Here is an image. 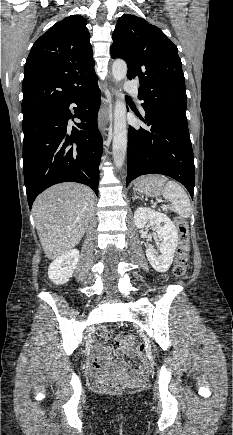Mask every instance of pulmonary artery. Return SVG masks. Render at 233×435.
<instances>
[{"instance_id": "obj_1", "label": "pulmonary artery", "mask_w": 233, "mask_h": 435, "mask_svg": "<svg viewBox=\"0 0 233 435\" xmlns=\"http://www.w3.org/2000/svg\"><path fill=\"white\" fill-rule=\"evenodd\" d=\"M125 91L132 97L138 98L139 96L138 87L133 85L129 78L125 79Z\"/></svg>"}]
</instances>
